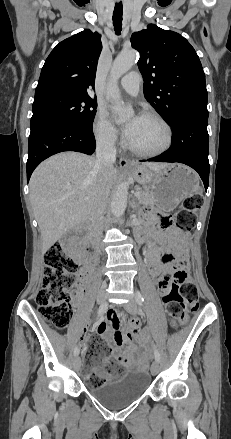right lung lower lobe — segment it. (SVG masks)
<instances>
[{
    "mask_svg": "<svg viewBox=\"0 0 231 439\" xmlns=\"http://www.w3.org/2000/svg\"><path fill=\"white\" fill-rule=\"evenodd\" d=\"M96 142L92 128L75 123H58L30 133L28 145L27 180L34 169L46 158L63 151H77L91 155Z\"/></svg>",
    "mask_w": 231,
    "mask_h": 439,
    "instance_id": "right-lung-lower-lobe-1",
    "label": "right lung lower lobe"
}]
</instances>
